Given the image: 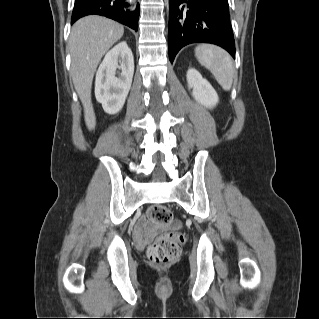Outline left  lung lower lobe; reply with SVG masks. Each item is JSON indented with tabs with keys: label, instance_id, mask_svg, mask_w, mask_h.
Segmentation results:
<instances>
[{
	"label": "left lung lower lobe",
	"instance_id": "0a47b994",
	"mask_svg": "<svg viewBox=\"0 0 319 319\" xmlns=\"http://www.w3.org/2000/svg\"><path fill=\"white\" fill-rule=\"evenodd\" d=\"M168 50L171 63L190 43L221 46L235 58L228 0H169Z\"/></svg>",
	"mask_w": 319,
	"mask_h": 319
}]
</instances>
